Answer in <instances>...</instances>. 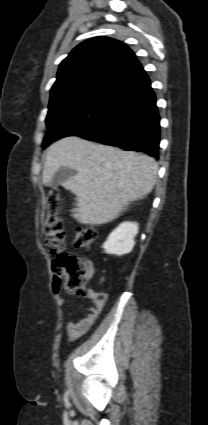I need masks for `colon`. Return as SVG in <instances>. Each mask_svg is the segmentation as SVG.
<instances>
[{"label":"colon","instance_id":"5ec220e1","mask_svg":"<svg viewBox=\"0 0 208 425\" xmlns=\"http://www.w3.org/2000/svg\"><path fill=\"white\" fill-rule=\"evenodd\" d=\"M59 189L48 193L47 212L43 218L44 247L53 256V270L63 278L65 289L74 295H86L90 262L83 256L65 250V231L58 213ZM97 241V231L89 226H78L73 232V243L79 249H88Z\"/></svg>","mask_w":208,"mask_h":425}]
</instances>
